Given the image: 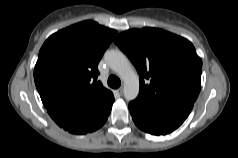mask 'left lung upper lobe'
I'll use <instances>...</instances> for the list:
<instances>
[{"mask_svg":"<svg viewBox=\"0 0 238 158\" xmlns=\"http://www.w3.org/2000/svg\"><path fill=\"white\" fill-rule=\"evenodd\" d=\"M114 41L140 75L136 100L152 106L195 102L202 60L190 41L157 28L131 29Z\"/></svg>","mask_w":238,"mask_h":158,"instance_id":"5c2ea615","label":"left lung upper lobe"}]
</instances>
